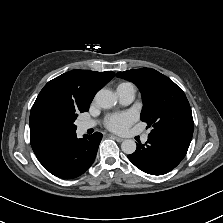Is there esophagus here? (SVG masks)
Segmentation results:
<instances>
[{"label":"esophagus","mask_w":223,"mask_h":223,"mask_svg":"<svg viewBox=\"0 0 223 223\" xmlns=\"http://www.w3.org/2000/svg\"><path fill=\"white\" fill-rule=\"evenodd\" d=\"M111 138H113L117 142H122L124 140L123 138H120V137H117V136H114V135H112Z\"/></svg>","instance_id":"34e87169"}]
</instances>
